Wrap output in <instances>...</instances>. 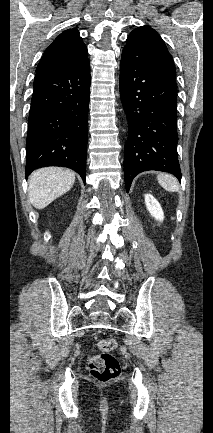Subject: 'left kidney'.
Listing matches in <instances>:
<instances>
[{
	"mask_svg": "<svg viewBox=\"0 0 213 433\" xmlns=\"http://www.w3.org/2000/svg\"><path fill=\"white\" fill-rule=\"evenodd\" d=\"M145 204L147 210L155 220L160 222L164 220L163 210L158 201L151 194L145 195Z\"/></svg>",
	"mask_w": 213,
	"mask_h": 433,
	"instance_id": "1",
	"label": "left kidney"
}]
</instances>
